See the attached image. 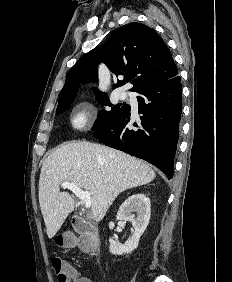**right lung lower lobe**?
<instances>
[{"label": "right lung lower lobe", "instance_id": "1", "mask_svg": "<svg viewBox=\"0 0 232 282\" xmlns=\"http://www.w3.org/2000/svg\"><path fill=\"white\" fill-rule=\"evenodd\" d=\"M140 121L129 128V108L93 133L109 147L148 161L173 177L174 156L179 138L182 87L178 75L146 84L137 91Z\"/></svg>", "mask_w": 232, "mask_h": 282}]
</instances>
